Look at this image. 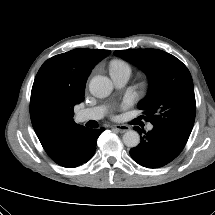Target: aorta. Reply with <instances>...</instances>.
<instances>
[{
	"label": "aorta",
	"instance_id": "1",
	"mask_svg": "<svg viewBox=\"0 0 215 215\" xmlns=\"http://www.w3.org/2000/svg\"><path fill=\"white\" fill-rule=\"evenodd\" d=\"M90 93L97 98L109 96L113 90L112 81L105 76H95L89 83ZM123 142L127 147H136L140 143V136L137 131L129 130L123 135Z\"/></svg>",
	"mask_w": 215,
	"mask_h": 215
}]
</instances>
